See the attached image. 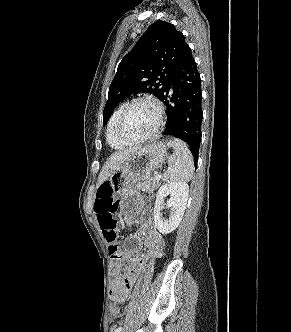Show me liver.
Wrapping results in <instances>:
<instances>
[{"instance_id": "6515ba94", "label": "liver", "mask_w": 291, "mask_h": 332, "mask_svg": "<svg viewBox=\"0 0 291 332\" xmlns=\"http://www.w3.org/2000/svg\"><path fill=\"white\" fill-rule=\"evenodd\" d=\"M141 147H134L129 148L126 150H119L115 153H113L104 164L99 177L97 186H100L103 182L108 180V178L111 176V174L120 168L121 164L129 158L134 152L139 150Z\"/></svg>"}]
</instances>
